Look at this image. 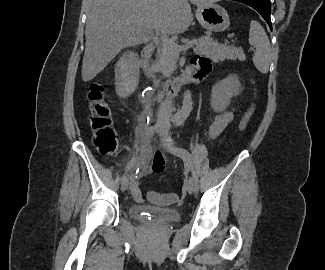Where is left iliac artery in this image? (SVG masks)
Segmentation results:
<instances>
[{
    "label": "left iliac artery",
    "mask_w": 325,
    "mask_h": 270,
    "mask_svg": "<svg viewBox=\"0 0 325 270\" xmlns=\"http://www.w3.org/2000/svg\"><path fill=\"white\" fill-rule=\"evenodd\" d=\"M177 125H180V122H178ZM176 151L182 156L183 160L191 168L193 179H194V182H195V192H197L199 190V181H198V177H197V175L195 173V170H194L192 155L189 153V151H187L186 149L181 148V147H176Z\"/></svg>",
    "instance_id": "obj_1"
}]
</instances>
